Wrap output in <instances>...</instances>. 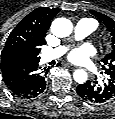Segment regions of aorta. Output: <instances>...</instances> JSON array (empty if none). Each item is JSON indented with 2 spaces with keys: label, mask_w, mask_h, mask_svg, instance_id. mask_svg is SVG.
I'll list each match as a JSON object with an SVG mask.
<instances>
[{
  "label": "aorta",
  "mask_w": 115,
  "mask_h": 119,
  "mask_svg": "<svg viewBox=\"0 0 115 119\" xmlns=\"http://www.w3.org/2000/svg\"><path fill=\"white\" fill-rule=\"evenodd\" d=\"M52 31L59 37H65L70 33V25L66 20H57L52 26ZM75 81L84 83L87 80V74L84 71H77L74 75Z\"/></svg>",
  "instance_id": "aorta-1"
}]
</instances>
